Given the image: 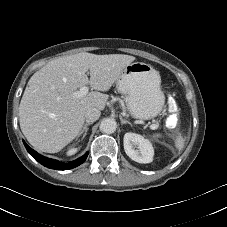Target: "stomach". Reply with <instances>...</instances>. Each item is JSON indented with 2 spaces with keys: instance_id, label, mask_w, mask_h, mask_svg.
Instances as JSON below:
<instances>
[{
  "instance_id": "obj_1",
  "label": "stomach",
  "mask_w": 227,
  "mask_h": 227,
  "mask_svg": "<svg viewBox=\"0 0 227 227\" xmlns=\"http://www.w3.org/2000/svg\"><path fill=\"white\" fill-rule=\"evenodd\" d=\"M118 92L130 115L139 120H150L158 116L165 103L161 90V77L150 64L130 63L116 80Z\"/></svg>"
}]
</instances>
